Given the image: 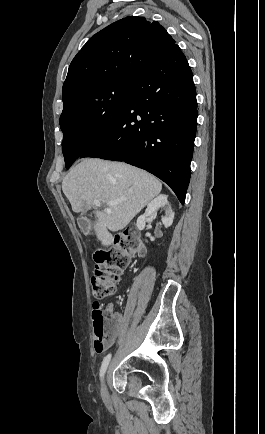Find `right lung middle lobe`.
<instances>
[{
    "instance_id": "dd1d6c3e",
    "label": "right lung middle lobe",
    "mask_w": 265,
    "mask_h": 434,
    "mask_svg": "<svg viewBox=\"0 0 265 434\" xmlns=\"http://www.w3.org/2000/svg\"><path fill=\"white\" fill-rule=\"evenodd\" d=\"M135 77L108 76L63 93L60 126L63 155L69 168L118 119Z\"/></svg>"
}]
</instances>
